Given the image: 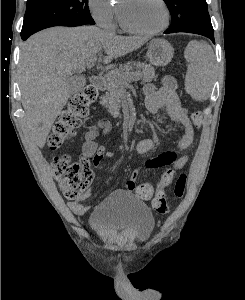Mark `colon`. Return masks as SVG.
<instances>
[{
  "label": "colon",
  "mask_w": 245,
  "mask_h": 300,
  "mask_svg": "<svg viewBox=\"0 0 245 300\" xmlns=\"http://www.w3.org/2000/svg\"><path fill=\"white\" fill-rule=\"evenodd\" d=\"M96 97L97 90L92 85H88L70 98L53 126L49 138L51 149H59L74 138L77 129L81 126L82 118L88 114L89 107ZM192 121L197 127L201 125V111L196 110L192 113ZM52 167L61 191L69 199L80 197L91 181V173L88 170L86 159L76 162L68 156L58 155L53 158ZM186 183L187 176L180 174L174 187L175 197L181 198L184 195ZM153 192V187L149 183H142L136 189L137 195L144 200L152 198ZM152 207L159 214L168 213L169 206L164 196V190H157L152 200Z\"/></svg>",
  "instance_id": "1"
}]
</instances>
